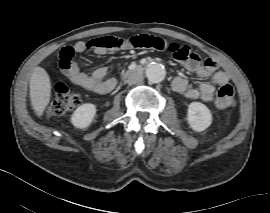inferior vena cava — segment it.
Here are the masks:
<instances>
[{"label":"inferior vena cava","instance_id":"inferior-vena-cava-1","mask_svg":"<svg viewBox=\"0 0 270 213\" xmlns=\"http://www.w3.org/2000/svg\"><path fill=\"white\" fill-rule=\"evenodd\" d=\"M143 81V76L139 73L132 72L128 75L126 82L129 85L137 84Z\"/></svg>","mask_w":270,"mask_h":213}]
</instances>
